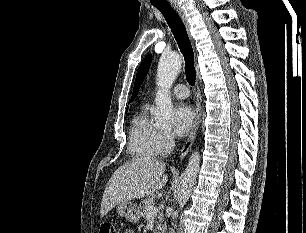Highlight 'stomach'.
I'll return each mask as SVG.
<instances>
[{"label": "stomach", "mask_w": 306, "mask_h": 233, "mask_svg": "<svg viewBox=\"0 0 306 233\" xmlns=\"http://www.w3.org/2000/svg\"><path fill=\"white\" fill-rule=\"evenodd\" d=\"M117 213L126 218L130 222H138L140 220V209L137 204L127 201L121 204H118Z\"/></svg>", "instance_id": "0dacf381"}]
</instances>
